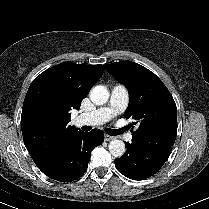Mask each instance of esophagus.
I'll return each mask as SVG.
<instances>
[{
  "label": "esophagus",
  "instance_id": "1",
  "mask_svg": "<svg viewBox=\"0 0 209 209\" xmlns=\"http://www.w3.org/2000/svg\"><path fill=\"white\" fill-rule=\"evenodd\" d=\"M113 139H114L113 136H110V135H107V134L104 135V140H105V141H111V140H113Z\"/></svg>",
  "mask_w": 209,
  "mask_h": 209
}]
</instances>
